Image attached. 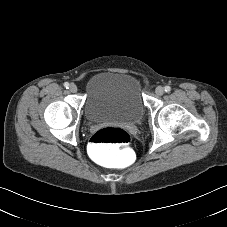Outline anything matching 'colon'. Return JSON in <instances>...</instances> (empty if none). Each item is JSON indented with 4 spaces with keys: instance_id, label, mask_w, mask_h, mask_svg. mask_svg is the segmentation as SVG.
<instances>
[{
    "instance_id": "1",
    "label": "colon",
    "mask_w": 227,
    "mask_h": 227,
    "mask_svg": "<svg viewBox=\"0 0 227 227\" xmlns=\"http://www.w3.org/2000/svg\"><path fill=\"white\" fill-rule=\"evenodd\" d=\"M130 134L121 128L109 127L96 132L90 140V150L106 166L123 163Z\"/></svg>"
}]
</instances>
